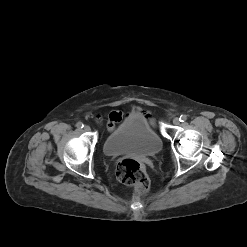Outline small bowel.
Segmentation results:
<instances>
[{
  "label": "small bowel",
  "instance_id": "small-bowel-1",
  "mask_svg": "<svg viewBox=\"0 0 247 247\" xmlns=\"http://www.w3.org/2000/svg\"><path fill=\"white\" fill-rule=\"evenodd\" d=\"M122 112L114 111L109 114L108 117V129L114 130L115 123L119 122L122 119ZM153 122V120H151Z\"/></svg>",
  "mask_w": 247,
  "mask_h": 247
}]
</instances>
